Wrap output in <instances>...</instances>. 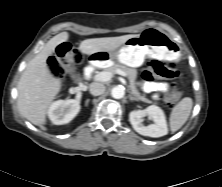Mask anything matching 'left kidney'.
<instances>
[{
	"instance_id": "5707ae66",
	"label": "left kidney",
	"mask_w": 222,
	"mask_h": 187,
	"mask_svg": "<svg viewBox=\"0 0 222 187\" xmlns=\"http://www.w3.org/2000/svg\"><path fill=\"white\" fill-rule=\"evenodd\" d=\"M149 116L154 124L145 126L143 117ZM129 120L136 132L143 136L161 137L168 133L166 117L163 110L155 105H151L144 110H134L129 114Z\"/></svg>"
}]
</instances>
